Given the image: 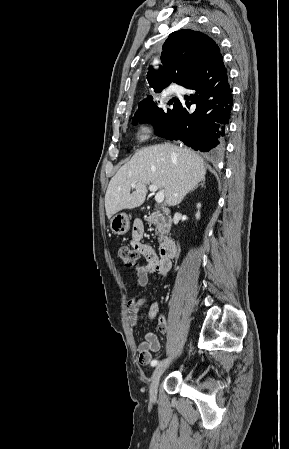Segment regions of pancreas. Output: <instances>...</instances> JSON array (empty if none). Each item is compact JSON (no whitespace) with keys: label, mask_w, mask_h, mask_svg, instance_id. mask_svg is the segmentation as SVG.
Masks as SVG:
<instances>
[{"label":"pancreas","mask_w":289,"mask_h":449,"mask_svg":"<svg viewBox=\"0 0 289 449\" xmlns=\"http://www.w3.org/2000/svg\"><path fill=\"white\" fill-rule=\"evenodd\" d=\"M148 224H153L156 229V233L159 236V242H162L166 235L170 232L171 223L160 212H153L150 216L145 218Z\"/></svg>","instance_id":"obj_1"}]
</instances>
